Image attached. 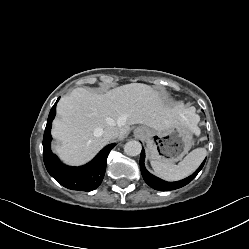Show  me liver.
I'll return each instance as SVG.
<instances>
[{
  "label": "liver",
  "mask_w": 249,
  "mask_h": 249,
  "mask_svg": "<svg viewBox=\"0 0 249 249\" xmlns=\"http://www.w3.org/2000/svg\"><path fill=\"white\" fill-rule=\"evenodd\" d=\"M194 112L193 107L184 108L183 104H167L160 92L142 83L102 94L78 87L57 104L52 135L60 144L54 150L68 164H83L109 142L103 135L106 128L118 129L121 139L134 124L162 131L186 122L199 135L200 118Z\"/></svg>",
  "instance_id": "6515ba94"
}]
</instances>
